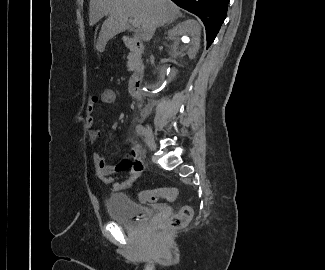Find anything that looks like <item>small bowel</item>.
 Segmentation results:
<instances>
[{"instance_id":"c3829d8e","label":"small bowel","mask_w":325,"mask_h":270,"mask_svg":"<svg viewBox=\"0 0 325 270\" xmlns=\"http://www.w3.org/2000/svg\"><path fill=\"white\" fill-rule=\"evenodd\" d=\"M99 101V97L91 96L88 99V106L86 108L85 122L89 128V139L93 142L97 141L102 135L99 129L93 127L95 106ZM92 159L98 178L104 184L110 185L111 189L114 191L130 188L139 177L141 165L139 162H135L136 152L134 150L127 153L114 165L108 164L98 153H94ZM116 173H126V175L121 178H116L114 176Z\"/></svg>"}]
</instances>
